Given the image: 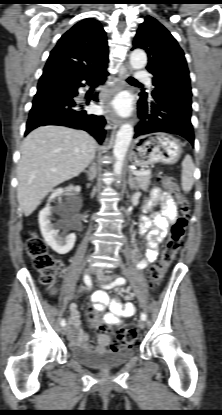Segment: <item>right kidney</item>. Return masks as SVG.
Returning <instances> with one entry per match:
<instances>
[{
	"instance_id": "1",
	"label": "right kidney",
	"mask_w": 222,
	"mask_h": 415,
	"mask_svg": "<svg viewBox=\"0 0 222 415\" xmlns=\"http://www.w3.org/2000/svg\"><path fill=\"white\" fill-rule=\"evenodd\" d=\"M75 188L70 186L68 188H59L55 190L49 200L61 198L64 193H70ZM62 206L52 207L47 204L39 213V225L41 234L46 242L55 252L58 254H66L74 247L76 241V235L74 233L68 234L67 236L59 235V230L56 229L51 223L53 212H57L62 215Z\"/></svg>"
}]
</instances>
